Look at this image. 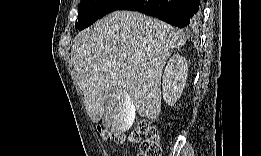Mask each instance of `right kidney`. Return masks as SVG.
<instances>
[{"instance_id":"ca27d5eb","label":"right kidney","mask_w":261,"mask_h":156,"mask_svg":"<svg viewBox=\"0 0 261 156\" xmlns=\"http://www.w3.org/2000/svg\"><path fill=\"white\" fill-rule=\"evenodd\" d=\"M188 75V64L185 57L173 55L164 70L162 79L163 99L174 104L181 96Z\"/></svg>"}]
</instances>
